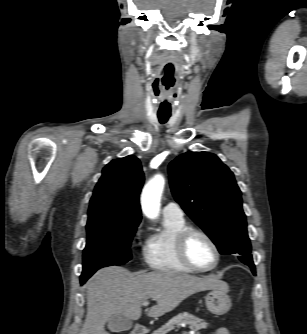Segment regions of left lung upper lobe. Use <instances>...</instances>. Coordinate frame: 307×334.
<instances>
[{"label": "left lung upper lobe", "instance_id": "left-lung-upper-lobe-1", "mask_svg": "<svg viewBox=\"0 0 307 334\" xmlns=\"http://www.w3.org/2000/svg\"><path fill=\"white\" fill-rule=\"evenodd\" d=\"M175 200L217 246L221 254H235L255 268L234 174L213 153L187 152L169 164Z\"/></svg>", "mask_w": 307, "mask_h": 334}]
</instances>
